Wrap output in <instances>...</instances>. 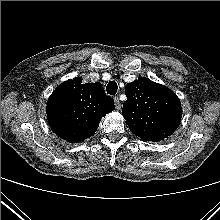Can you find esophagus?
<instances>
[{
	"mask_svg": "<svg viewBox=\"0 0 220 220\" xmlns=\"http://www.w3.org/2000/svg\"><path fill=\"white\" fill-rule=\"evenodd\" d=\"M114 103L117 110L121 109V102L117 96L114 97Z\"/></svg>",
	"mask_w": 220,
	"mask_h": 220,
	"instance_id": "obj_1",
	"label": "esophagus"
}]
</instances>
